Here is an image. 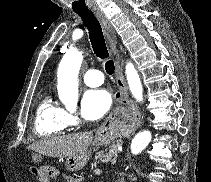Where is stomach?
Returning a JSON list of instances; mask_svg holds the SVG:
<instances>
[{
  "mask_svg": "<svg viewBox=\"0 0 211 182\" xmlns=\"http://www.w3.org/2000/svg\"><path fill=\"white\" fill-rule=\"evenodd\" d=\"M119 136V132L108 129V130H102L97 133L95 136V139L93 141V145L98 146H105L110 143H112L117 137ZM90 151H86L84 153L78 154L73 157H68L65 162L66 169L70 172H75L78 170H81L88 162L90 158ZM39 155H34V160H40Z\"/></svg>",
  "mask_w": 211,
  "mask_h": 182,
  "instance_id": "1",
  "label": "stomach"
}]
</instances>
